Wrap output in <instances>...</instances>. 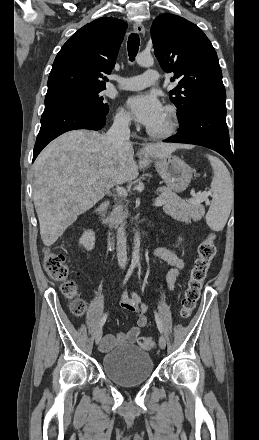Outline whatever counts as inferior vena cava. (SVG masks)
I'll list each match as a JSON object with an SVG mask.
<instances>
[{
    "label": "inferior vena cava",
    "instance_id": "602c4592",
    "mask_svg": "<svg viewBox=\"0 0 259 440\" xmlns=\"http://www.w3.org/2000/svg\"><path fill=\"white\" fill-rule=\"evenodd\" d=\"M130 120L127 118L116 119L106 134L108 142L112 143L116 148L130 143ZM127 239L123 226L117 230V259L121 268H125L127 264Z\"/></svg>",
    "mask_w": 259,
    "mask_h": 440
}]
</instances>
